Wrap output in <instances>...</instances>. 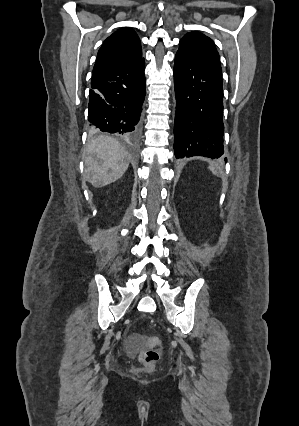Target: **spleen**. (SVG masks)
<instances>
[{"mask_svg":"<svg viewBox=\"0 0 299 426\" xmlns=\"http://www.w3.org/2000/svg\"><path fill=\"white\" fill-rule=\"evenodd\" d=\"M209 169L212 171V173H213L214 175H217V169H216V167H215V166L211 165V166H209Z\"/></svg>","mask_w":299,"mask_h":426,"instance_id":"spleen-1","label":"spleen"}]
</instances>
